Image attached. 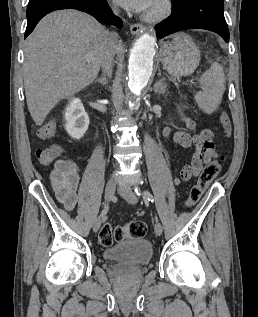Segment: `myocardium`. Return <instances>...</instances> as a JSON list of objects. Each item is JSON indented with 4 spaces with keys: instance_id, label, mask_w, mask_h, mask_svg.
Instances as JSON below:
<instances>
[{
    "instance_id": "myocardium-1",
    "label": "myocardium",
    "mask_w": 258,
    "mask_h": 317,
    "mask_svg": "<svg viewBox=\"0 0 258 317\" xmlns=\"http://www.w3.org/2000/svg\"><path fill=\"white\" fill-rule=\"evenodd\" d=\"M172 6L167 1H157L144 13V19L149 22H159L170 15Z\"/></svg>"
}]
</instances>
